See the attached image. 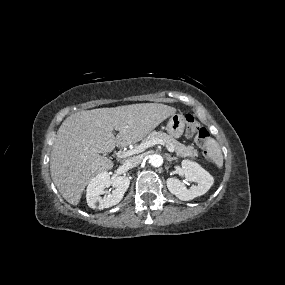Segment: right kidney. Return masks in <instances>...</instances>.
Segmentation results:
<instances>
[{"label": "right kidney", "instance_id": "ca27d5eb", "mask_svg": "<svg viewBox=\"0 0 285 285\" xmlns=\"http://www.w3.org/2000/svg\"><path fill=\"white\" fill-rule=\"evenodd\" d=\"M130 180L127 177L119 176L111 180L108 172L104 171L91 179L87 190V204L92 209L102 210L118 204L128 189ZM112 186V192L105 191ZM105 194V195H104ZM102 195H104L102 197Z\"/></svg>", "mask_w": 285, "mask_h": 285}]
</instances>
